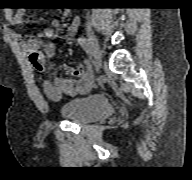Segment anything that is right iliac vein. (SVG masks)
I'll list each match as a JSON object with an SVG mask.
<instances>
[{
	"label": "right iliac vein",
	"mask_w": 192,
	"mask_h": 180,
	"mask_svg": "<svg viewBox=\"0 0 192 180\" xmlns=\"http://www.w3.org/2000/svg\"><path fill=\"white\" fill-rule=\"evenodd\" d=\"M86 32L91 44L92 56L94 57L95 67L97 70H99L102 64V51L100 49L99 42L90 26L86 27Z\"/></svg>",
	"instance_id": "obj_1"
}]
</instances>
